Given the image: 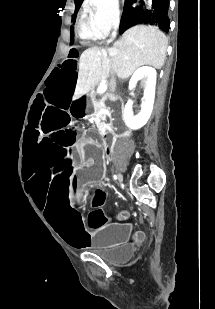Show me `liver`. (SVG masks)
I'll return each mask as SVG.
<instances>
[{"mask_svg":"<svg viewBox=\"0 0 215 309\" xmlns=\"http://www.w3.org/2000/svg\"><path fill=\"white\" fill-rule=\"evenodd\" d=\"M167 44V36L158 26L136 24L125 30L119 40L107 50L98 46L86 48L79 58L73 100L93 90L99 80H106L111 70H114L119 78H128L143 64L162 68ZM109 52H112V56Z\"/></svg>","mask_w":215,"mask_h":309,"instance_id":"liver-1","label":"liver"}]
</instances>
